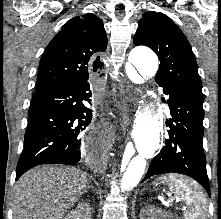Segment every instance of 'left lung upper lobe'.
<instances>
[{
	"label": "left lung upper lobe",
	"mask_w": 221,
	"mask_h": 219,
	"mask_svg": "<svg viewBox=\"0 0 221 219\" xmlns=\"http://www.w3.org/2000/svg\"><path fill=\"white\" fill-rule=\"evenodd\" d=\"M134 45L150 47L160 60L156 82L163 90L185 94L203 103L202 83L191 46L182 31L165 14L143 13Z\"/></svg>",
	"instance_id": "5c2ea615"
}]
</instances>
